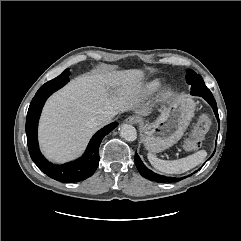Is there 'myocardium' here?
Segmentation results:
<instances>
[{
    "mask_svg": "<svg viewBox=\"0 0 241 241\" xmlns=\"http://www.w3.org/2000/svg\"><path fill=\"white\" fill-rule=\"evenodd\" d=\"M172 95V89L170 87H164L159 94L160 99H168Z\"/></svg>",
    "mask_w": 241,
    "mask_h": 241,
    "instance_id": "myocardium-1",
    "label": "myocardium"
}]
</instances>
